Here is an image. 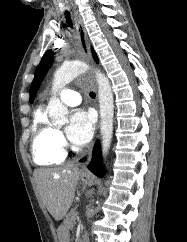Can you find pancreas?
<instances>
[{
	"instance_id": "1",
	"label": "pancreas",
	"mask_w": 187,
	"mask_h": 242,
	"mask_svg": "<svg viewBox=\"0 0 187 242\" xmlns=\"http://www.w3.org/2000/svg\"><path fill=\"white\" fill-rule=\"evenodd\" d=\"M77 211L75 209H72L69 214L67 215L64 223H65V226L68 227V228H71L74 226L75 224V220H76V217H77Z\"/></svg>"
}]
</instances>
